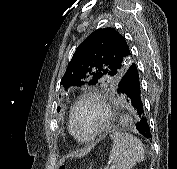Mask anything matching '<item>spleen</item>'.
<instances>
[{
	"instance_id": "1",
	"label": "spleen",
	"mask_w": 177,
	"mask_h": 169,
	"mask_svg": "<svg viewBox=\"0 0 177 169\" xmlns=\"http://www.w3.org/2000/svg\"><path fill=\"white\" fill-rule=\"evenodd\" d=\"M113 140L109 159L116 169H131L135 164L144 160L142 142L129 133L114 132L110 135Z\"/></svg>"
}]
</instances>
